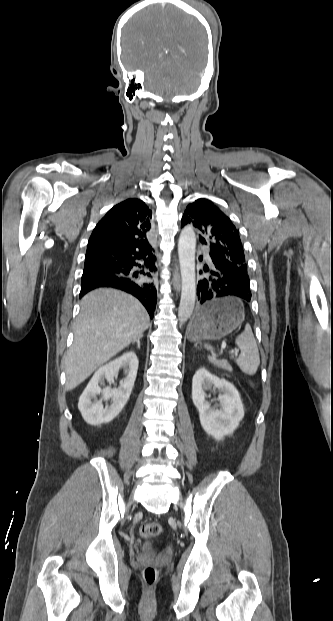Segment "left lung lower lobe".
<instances>
[{
    "instance_id": "1",
    "label": "left lung lower lobe",
    "mask_w": 333,
    "mask_h": 621,
    "mask_svg": "<svg viewBox=\"0 0 333 621\" xmlns=\"http://www.w3.org/2000/svg\"><path fill=\"white\" fill-rule=\"evenodd\" d=\"M207 258L211 267L204 266L203 271L210 276L198 281L197 295L200 303L203 304L213 298L224 296H237L250 301V280L247 270L236 267L229 259L217 255L211 250H209Z\"/></svg>"
}]
</instances>
